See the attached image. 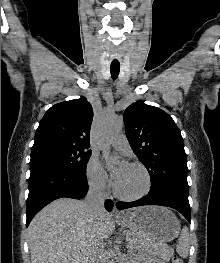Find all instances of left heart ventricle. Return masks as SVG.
<instances>
[{
  "label": "left heart ventricle",
  "mask_w": 220,
  "mask_h": 263,
  "mask_svg": "<svg viewBox=\"0 0 220 263\" xmlns=\"http://www.w3.org/2000/svg\"><path fill=\"white\" fill-rule=\"evenodd\" d=\"M114 182L120 193L125 195H135L144 190L146 178L140 168L128 165Z\"/></svg>",
  "instance_id": "b2bd125f"
}]
</instances>
